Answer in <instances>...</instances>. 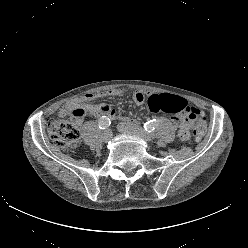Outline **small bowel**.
Instances as JSON below:
<instances>
[{
    "instance_id": "1",
    "label": "small bowel",
    "mask_w": 248,
    "mask_h": 248,
    "mask_svg": "<svg viewBox=\"0 0 248 248\" xmlns=\"http://www.w3.org/2000/svg\"><path fill=\"white\" fill-rule=\"evenodd\" d=\"M120 94L121 91L117 89H109L107 91L98 94H93V93L84 94L83 96L73 99L68 103H66L64 106H62L58 111V115L60 117H65L67 115H70L73 109L78 107L79 104L92 101L97 97H105V96L111 97V96H118ZM146 98H147V93L144 91H137L133 94L132 97L133 102L136 105H142L146 101ZM85 107H86V113L95 116H106L109 119H114L116 117L115 110L112 109L107 104H100L96 106H85ZM172 121L180 128V130H178L176 134L177 138L180 139L181 141L188 140L190 138V131H189V128L191 126L190 120L185 116L175 115L172 117ZM76 122L77 124H81L82 118L77 119Z\"/></svg>"
}]
</instances>
